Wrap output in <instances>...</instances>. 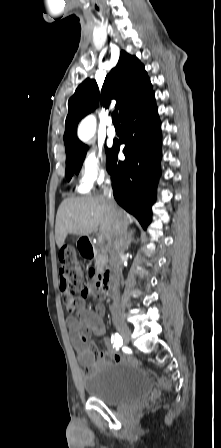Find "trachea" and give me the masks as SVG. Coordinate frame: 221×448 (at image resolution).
I'll use <instances>...</instances> for the list:
<instances>
[{
  "mask_svg": "<svg viewBox=\"0 0 221 448\" xmlns=\"http://www.w3.org/2000/svg\"><path fill=\"white\" fill-rule=\"evenodd\" d=\"M112 121L115 126H120V121H119L117 110L113 111V113H112Z\"/></svg>",
  "mask_w": 221,
  "mask_h": 448,
  "instance_id": "trachea-1",
  "label": "trachea"
}]
</instances>
